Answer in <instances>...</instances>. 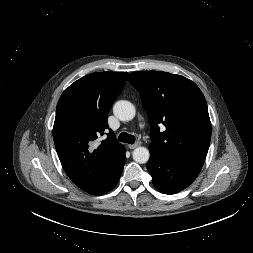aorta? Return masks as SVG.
<instances>
[{"label":"aorta","instance_id":"1","mask_svg":"<svg viewBox=\"0 0 253 253\" xmlns=\"http://www.w3.org/2000/svg\"><path fill=\"white\" fill-rule=\"evenodd\" d=\"M113 113L121 121H130L135 117L136 110L131 102L120 100L115 103L113 107ZM149 157V150L145 147H137L133 151V159L137 163H147Z\"/></svg>","mask_w":253,"mask_h":253}]
</instances>
